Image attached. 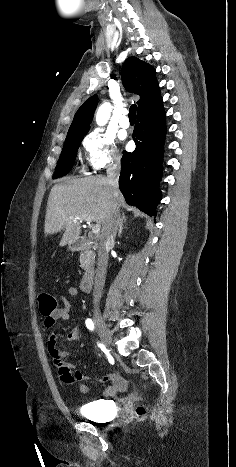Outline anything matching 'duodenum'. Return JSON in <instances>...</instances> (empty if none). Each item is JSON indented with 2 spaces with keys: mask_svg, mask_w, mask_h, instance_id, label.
Masks as SVG:
<instances>
[{
  "mask_svg": "<svg viewBox=\"0 0 236 467\" xmlns=\"http://www.w3.org/2000/svg\"><path fill=\"white\" fill-rule=\"evenodd\" d=\"M91 243L84 237H77L70 243V247L73 251H82L86 248L91 247ZM94 282V270L87 268L80 280V288L82 292L88 293L92 290Z\"/></svg>",
  "mask_w": 236,
  "mask_h": 467,
  "instance_id": "1",
  "label": "duodenum"
}]
</instances>
